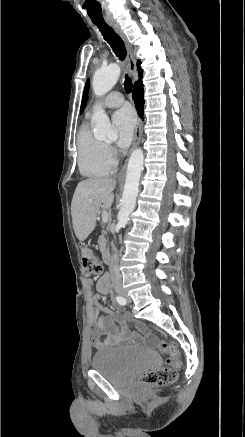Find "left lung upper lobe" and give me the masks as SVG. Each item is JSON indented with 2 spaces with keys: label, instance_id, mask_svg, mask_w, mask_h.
<instances>
[{
  "label": "left lung upper lobe",
  "instance_id": "1",
  "mask_svg": "<svg viewBox=\"0 0 245 437\" xmlns=\"http://www.w3.org/2000/svg\"><path fill=\"white\" fill-rule=\"evenodd\" d=\"M89 88H90V81L87 80L86 85L84 87V93H83V98H82V102H81V111H80L81 114L83 113V111H84V109L86 107V102H87V99H88Z\"/></svg>",
  "mask_w": 245,
  "mask_h": 437
}]
</instances>
